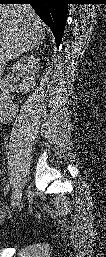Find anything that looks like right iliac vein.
Masks as SVG:
<instances>
[{
	"label": "right iliac vein",
	"instance_id": "right-iliac-vein-1",
	"mask_svg": "<svg viewBox=\"0 0 106 257\" xmlns=\"http://www.w3.org/2000/svg\"><path fill=\"white\" fill-rule=\"evenodd\" d=\"M21 197H22V189H19L17 194H16V196H15V198L13 199V201L11 203L13 208L17 207L19 205Z\"/></svg>",
	"mask_w": 106,
	"mask_h": 257
}]
</instances>
